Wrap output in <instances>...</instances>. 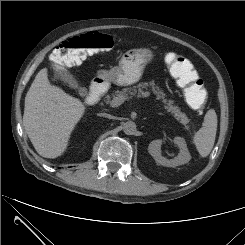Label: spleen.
I'll list each match as a JSON object with an SVG mask.
<instances>
[{"mask_svg":"<svg viewBox=\"0 0 245 245\" xmlns=\"http://www.w3.org/2000/svg\"><path fill=\"white\" fill-rule=\"evenodd\" d=\"M217 131V115L210 109L204 117V122L193 138V143L201 157H207L213 149Z\"/></svg>","mask_w":245,"mask_h":245,"instance_id":"1","label":"spleen"}]
</instances>
